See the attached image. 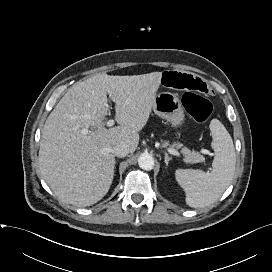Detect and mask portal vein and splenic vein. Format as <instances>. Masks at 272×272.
Instances as JSON below:
<instances>
[{
  "instance_id": "portal-vein-and-splenic-vein-1",
  "label": "portal vein and splenic vein",
  "mask_w": 272,
  "mask_h": 272,
  "mask_svg": "<svg viewBox=\"0 0 272 272\" xmlns=\"http://www.w3.org/2000/svg\"><path fill=\"white\" fill-rule=\"evenodd\" d=\"M113 125H114V120H109V121L107 122V126L111 127V126H113ZM167 150H168V152H169L170 154L180 157V153H179L177 150H175V149H173V148H168Z\"/></svg>"
}]
</instances>
